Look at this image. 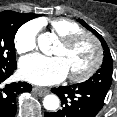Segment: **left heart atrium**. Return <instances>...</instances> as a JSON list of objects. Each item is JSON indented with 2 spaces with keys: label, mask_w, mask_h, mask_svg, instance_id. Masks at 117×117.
Masks as SVG:
<instances>
[{
  "label": "left heart atrium",
  "mask_w": 117,
  "mask_h": 117,
  "mask_svg": "<svg viewBox=\"0 0 117 117\" xmlns=\"http://www.w3.org/2000/svg\"><path fill=\"white\" fill-rule=\"evenodd\" d=\"M21 76L38 85H51L64 80L68 71L60 57H45L39 54L29 55L20 61Z\"/></svg>",
  "instance_id": "left-heart-atrium-1"
}]
</instances>
